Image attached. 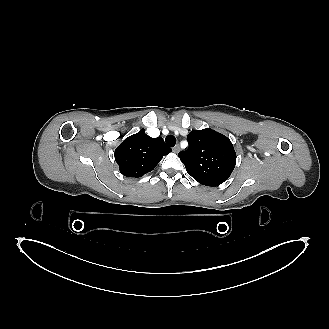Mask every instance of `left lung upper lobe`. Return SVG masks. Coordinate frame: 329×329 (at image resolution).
Segmentation results:
<instances>
[{"label":"left lung upper lobe","instance_id":"obj_1","mask_svg":"<svg viewBox=\"0 0 329 329\" xmlns=\"http://www.w3.org/2000/svg\"><path fill=\"white\" fill-rule=\"evenodd\" d=\"M187 139L189 147L179 154V158L189 175L206 186L225 182L236 164L231 141L210 128L192 130Z\"/></svg>","mask_w":329,"mask_h":329}]
</instances>
